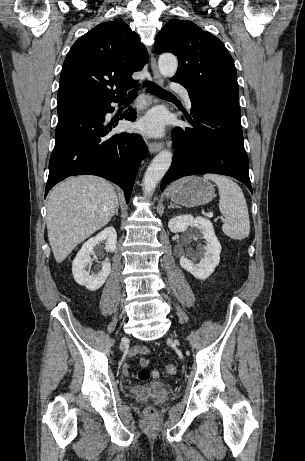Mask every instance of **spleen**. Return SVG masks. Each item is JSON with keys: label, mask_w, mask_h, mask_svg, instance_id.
I'll use <instances>...</instances> for the list:
<instances>
[{"label": "spleen", "mask_w": 305, "mask_h": 461, "mask_svg": "<svg viewBox=\"0 0 305 461\" xmlns=\"http://www.w3.org/2000/svg\"><path fill=\"white\" fill-rule=\"evenodd\" d=\"M204 180H211L218 186L219 210L226 218L222 231L232 239L242 240L250 233L247 203L241 188L230 178L218 174H205Z\"/></svg>", "instance_id": "spleen-1"}]
</instances>
